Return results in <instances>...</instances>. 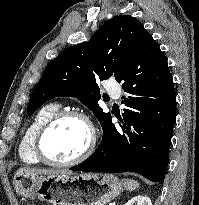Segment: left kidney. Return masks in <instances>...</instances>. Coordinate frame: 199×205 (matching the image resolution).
Here are the masks:
<instances>
[{"instance_id": "5707ae66", "label": "left kidney", "mask_w": 199, "mask_h": 205, "mask_svg": "<svg viewBox=\"0 0 199 205\" xmlns=\"http://www.w3.org/2000/svg\"><path fill=\"white\" fill-rule=\"evenodd\" d=\"M125 205H152V202L147 196H135L131 198Z\"/></svg>"}]
</instances>
